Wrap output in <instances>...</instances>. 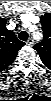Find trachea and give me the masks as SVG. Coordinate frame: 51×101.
<instances>
[{
  "instance_id": "3493384b",
  "label": "trachea",
  "mask_w": 51,
  "mask_h": 101,
  "mask_svg": "<svg viewBox=\"0 0 51 101\" xmlns=\"http://www.w3.org/2000/svg\"><path fill=\"white\" fill-rule=\"evenodd\" d=\"M18 37L20 40L26 41L28 39V33L26 31H21Z\"/></svg>"
}]
</instances>
